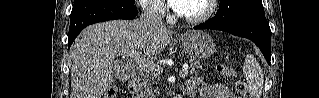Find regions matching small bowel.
<instances>
[{"label":"small bowel","mask_w":319,"mask_h":98,"mask_svg":"<svg viewBox=\"0 0 319 98\" xmlns=\"http://www.w3.org/2000/svg\"><path fill=\"white\" fill-rule=\"evenodd\" d=\"M187 90L191 95L199 92L201 98H237L231 89L225 84H205L198 77L187 81Z\"/></svg>","instance_id":"1"}]
</instances>
